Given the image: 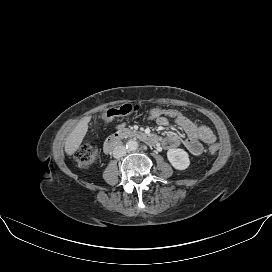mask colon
<instances>
[{
	"label": "colon",
	"mask_w": 272,
	"mask_h": 272,
	"mask_svg": "<svg viewBox=\"0 0 272 272\" xmlns=\"http://www.w3.org/2000/svg\"><path fill=\"white\" fill-rule=\"evenodd\" d=\"M138 105L123 104L121 106L112 107L107 109L103 114L102 118L106 121L119 116H126L139 111ZM147 117L152 120L159 118H166L169 120H175L185 117L182 112L171 108H154L147 112ZM219 147L217 144H212L209 147V152L215 154ZM74 158L81 167L91 166L98 158V150L90 143H84L75 152Z\"/></svg>",
	"instance_id": "5ec220e1"
}]
</instances>
